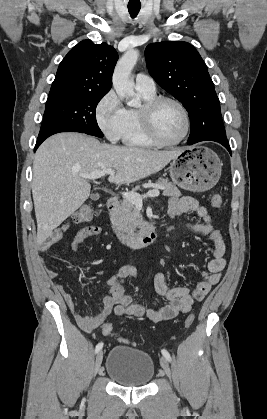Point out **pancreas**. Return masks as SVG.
Instances as JSON below:
<instances>
[{
  "label": "pancreas",
  "instance_id": "1",
  "mask_svg": "<svg viewBox=\"0 0 267 419\" xmlns=\"http://www.w3.org/2000/svg\"><path fill=\"white\" fill-rule=\"evenodd\" d=\"M155 185L163 187V195L169 197H179L181 192L168 179L159 178ZM140 187H135L131 192L136 193ZM112 224L120 231L124 232L127 237H132L136 229L143 224L142 215L135 207V204L124 199L121 205L111 215Z\"/></svg>",
  "mask_w": 267,
  "mask_h": 419
}]
</instances>
